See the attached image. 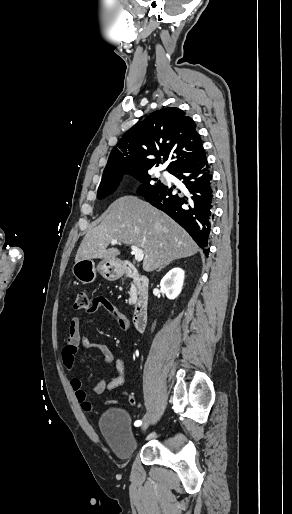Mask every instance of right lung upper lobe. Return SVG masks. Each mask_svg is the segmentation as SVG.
Returning a JSON list of instances; mask_svg holds the SVG:
<instances>
[{"instance_id": "right-lung-upper-lobe-1", "label": "right lung upper lobe", "mask_w": 292, "mask_h": 514, "mask_svg": "<svg viewBox=\"0 0 292 514\" xmlns=\"http://www.w3.org/2000/svg\"><path fill=\"white\" fill-rule=\"evenodd\" d=\"M204 154L195 122L181 109L166 107L123 135L111 151L102 180L146 173L165 161L171 173Z\"/></svg>"}]
</instances>
